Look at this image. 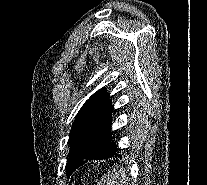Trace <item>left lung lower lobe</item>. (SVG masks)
I'll return each mask as SVG.
<instances>
[{
    "label": "left lung lower lobe",
    "mask_w": 207,
    "mask_h": 185,
    "mask_svg": "<svg viewBox=\"0 0 207 185\" xmlns=\"http://www.w3.org/2000/svg\"><path fill=\"white\" fill-rule=\"evenodd\" d=\"M118 151H119V149L116 148V145H115L114 141H111L110 144H109V146L107 147V149L104 150L103 152L91 153V154L84 155L82 158H80L73 165V167L70 170H68L67 174H71L78 167H80L81 165L85 164L89 160H103V159L111 158V157H114V156L117 157V156H119L117 154Z\"/></svg>",
    "instance_id": "1"
}]
</instances>
